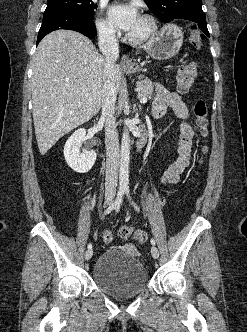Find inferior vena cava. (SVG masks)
I'll use <instances>...</instances> for the list:
<instances>
[{
    "mask_svg": "<svg viewBox=\"0 0 247 332\" xmlns=\"http://www.w3.org/2000/svg\"><path fill=\"white\" fill-rule=\"evenodd\" d=\"M99 49L105 56L104 73L106 81L103 88L102 115L105 122L106 177L105 198L113 200L116 194L119 168V139L115 126V103L117 90L114 82V66L119 56L118 41L113 31L102 29L99 33Z\"/></svg>",
    "mask_w": 247,
    "mask_h": 332,
    "instance_id": "obj_1",
    "label": "inferior vena cava"
}]
</instances>
